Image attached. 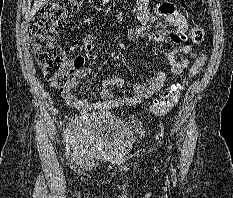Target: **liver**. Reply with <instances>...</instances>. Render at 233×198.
<instances>
[{"label":"liver","mask_w":233,"mask_h":198,"mask_svg":"<svg viewBox=\"0 0 233 198\" xmlns=\"http://www.w3.org/2000/svg\"><path fill=\"white\" fill-rule=\"evenodd\" d=\"M49 0H35L31 11L29 13V19H32L34 15L48 2Z\"/></svg>","instance_id":"liver-1"}]
</instances>
